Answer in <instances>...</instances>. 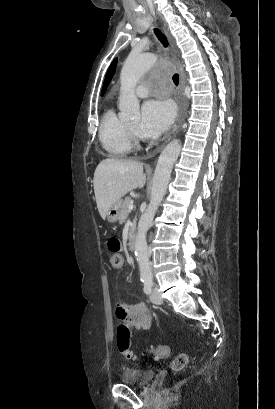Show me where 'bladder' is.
<instances>
[{
    "label": "bladder",
    "mask_w": 275,
    "mask_h": 409,
    "mask_svg": "<svg viewBox=\"0 0 275 409\" xmlns=\"http://www.w3.org/2000/svg\"><path fill=\"white\" fill-rule=\"evenodd\" d=\"M156 377V371L135 366H125L118 375L120 384H130L135 386H149L152 380Z\"/></svg>",
    "instance_id": "bladder-1"
}]
</instances>
